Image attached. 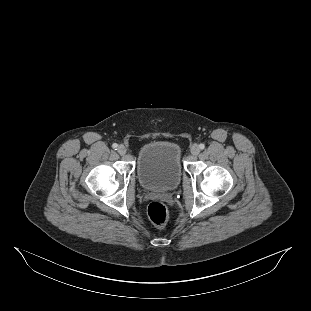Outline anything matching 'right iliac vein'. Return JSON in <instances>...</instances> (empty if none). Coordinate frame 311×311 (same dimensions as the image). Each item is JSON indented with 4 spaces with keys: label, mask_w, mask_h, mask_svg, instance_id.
<instances>
[{
    "label": "right iliac vein",
    "mask_w": 311,
    "mask_h": 311,
    "mask_svg": "<svg viewBox=\"0 0 311 311\" xmlns=\"http://www.w3.org/2000/svg\"><path fill=\"white\" fill-rule=\"evenodd\" d=\"M117 151H118V153H119L120 155H124V154H126V151H127V150H126L125 146L120 145V146H118Z\"/></svg>",
    "instance_id": "obj_1"
}]
</instances>
